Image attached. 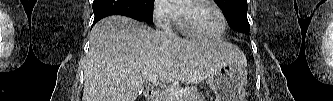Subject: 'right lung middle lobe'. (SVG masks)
<instances>
[{
  "instance_id": "right-lung-middle-lobe-1",
  "label": "right lung middle lobe",
  "mask_w": 333,
  "mask_h": 101,
  "mask_svg": "<svg viewBox=\"0 0 333 101\" xmlns=\"http://www.w3.org/2000/svg\"><path fill=\"white\" fill-rule=\"evenodd\" d=\"M152 23L154 0H135Z\"/></svg>"
}]
</instances>
